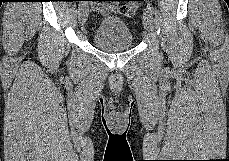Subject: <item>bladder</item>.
I'll use <instances>...</instances> for the list:
<instances>
[{
  "mask_svg": "<svg viewBox=\"0 0 229 161\" xmlns=\"http://www.w3.org/2000/svg\"><path fill=\"white\" fill-rule=\"evenodd\" d=\"M92 41L103 51L117 52L131 48L134 39L130 28L121 18L105 17L96 25Z\"/></svg>",
  "mask_w": 229,
  "mask_h": 161,
  "instance_id": "1",
  "label": "bladder"
}]
</instances>
